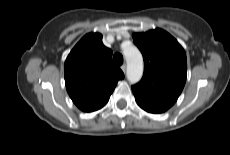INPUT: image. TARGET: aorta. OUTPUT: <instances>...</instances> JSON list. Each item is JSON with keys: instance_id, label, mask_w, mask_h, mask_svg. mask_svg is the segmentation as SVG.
Masks as SVG:
<instances>
[{"instance_id": "1", "label": "aorta", "mask_w": 230, "mask_h": 155, "mask_svg": "<svg viewBox=\"0 0 230 155\" xmlns=\"http://www.w3.org/2000/svg\"><path fill=\"white\" fill-rule=\"evenodd\" d=\"M127 62V79L130 83H137L143 74V58L140 51L134 47L123 50Z\"/></svg>"}]
</instances>
